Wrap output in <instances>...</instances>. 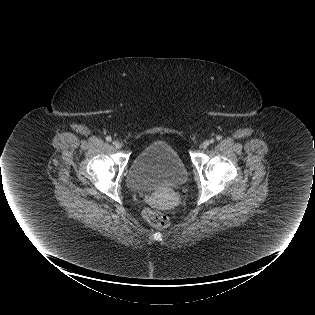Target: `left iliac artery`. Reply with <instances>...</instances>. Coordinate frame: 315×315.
<instances>
[{
	"instance_id": "obj_1",
	"label": "left iliac artery",
	"mask_w": 315,
	"mask_h": 315,
	"mask_svg": "<svg viewBox=\"0 0 315 315\" xmlns=\"http://www.w3.org/2000/svg\"><path fill=\"white\" fill-rule=\"evenodd\" d=\"M221 138H222V136H220V135H218V136L216 137L217 140H220ZM211 142H213V140H211Z\"/></svg>"
}]
</instances>
